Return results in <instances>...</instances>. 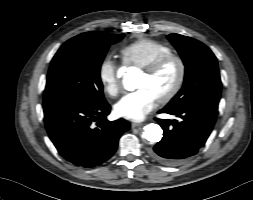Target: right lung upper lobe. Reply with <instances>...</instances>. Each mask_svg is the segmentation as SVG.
<instances>
[{
  "label": "right lung upper lobe",
  "instance_id": "right-lung-upper-lobe-1",
  "mask_svg": "<svg viewBox=\"0 0 253 200\" xmlns=\"http://www.w3.org/2000/svg\"><path fill=\"white\" fill-rule=\"evenodd\" d=\"M82 35L102 39V38L108 37L112 34L107 33V32H103V31H93V32L83 33Z\"/></svg>",
  "mask_w": 253,
  "mask_h": 200
}]
</instances>
